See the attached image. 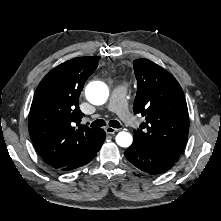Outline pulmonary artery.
<instances>
[{
  "label": "pulmonary artery",
  "instance_id": "e3ab8cb5",
  "mask_svg": "<svg viewBox=\"0 0 221 221\" xmlns=\"http://www.w3.org/2000/svg\"><path fill=\"white\" fill-rule=\"evenodd\" d=\"M128 87L118 85L113 88L108 104V110L115 112L120 119L132 128H138L140 122L129 112L126 102Z\"/></svg>",
  "mask_w": 221,
  "mask_h": 221
}]
</instances>
